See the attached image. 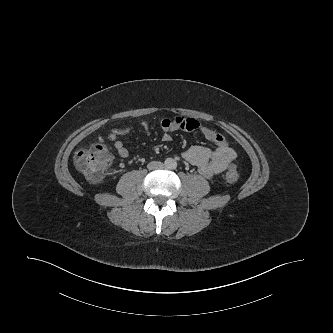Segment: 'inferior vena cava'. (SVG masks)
I'll use <instances>...</instances> for the list:
<instances>
[{
  "label": "inferior vena cava",
  "instance_id": "inferior-vena-cava-1",
  "mask_svg": "<svg viewBox=\"0 0 333 333\" xmlns=\"http://www.w3.org/2000/svg\"><path fill=\"white\" fill-rule=\"evenodd\" d=\"M163 163L159 162V161H152L150 163H148L147 168L149 170H157V169H161L163 168Z\"/></svg>",
  "mask_w": 333,
  "mask_h": 333
}]
</instances>
